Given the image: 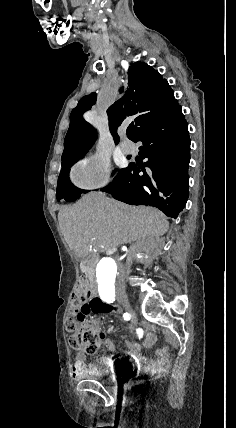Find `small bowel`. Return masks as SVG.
Masks as SVG:
<instances>
[{
	"label": "small bowel",
	"mask_w": 236,
	"mask_h": 428,
	"mask_svg": "<svg viewBox=\"0 0 236 428\" xmlns=\"http://www.w3.org/2000/svg\"><path fill=\"white\" fill-rule=\"evenodd\" d=\"M129 330L134 331V328L131 327ZM135 331L139 338H143V337L145 338V341L143 344L144 348L149 349L153 346L156 340V336L153 332L147 329H136ZM100 338L104 340L106 347L109 348L113 353H117L119 351L111 340L105 338V335L103 333H100ZM125 345H126L125 352L128 353L133 359V361L144 370H153L156 367H158L162 363V358L168 352L167 347L163 349H159L156 351V356H157L156 358L148 359L144 357L143 354L141 353L140 345L134 343L130 339L125 340ZM99 363L100 365H104L106 367H112L115 364V355L112 354V355L101 357L99 359ZM95 367L97 368V365H89L86 363L85 353L79 352L76 355V358L73 364V368H72L73 375L75 377H79L84 372L91 370Z\"/></svg>",
	"instance_id": "1"
}]
</instances>
